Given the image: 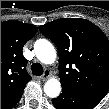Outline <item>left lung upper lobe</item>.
Segmentation results:
<instances>
[{"label":"left lung upper lobe","mask_w":109,"mask_h":109,"mask_svg":"<svg viewBox=\"0 0 109 109\" xmlns=\"http://www.w3.org/2000/svg\"><path fill=\"white\" fill-rule=\"evenodd\" d=\"M59 53L61 85L102 100L109 92V40L92 22L65 18L39 27Z\"/></svg>","instance_id":"1"}]
</instances>
